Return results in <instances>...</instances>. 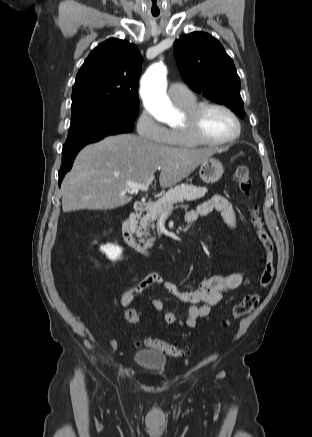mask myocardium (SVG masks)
<instances>
[{"mask_svg":"<svg viewBox=\"0 0 312 437\" xmlns=\"http://www.w3.org/2000/svg\"><path fill=\"white\" fill-rule=\"evenodd\" d=\"M212 108L226 112L233 119L235 131L231 136L221 140H212L204 136L201 130V118L207 110ZM184 113L185 117L181 128L188 137L197 144L208 146L227 145L237 140L241 134V122L239 117L231 108L224 104L217 102L201 103Z\"/></svg>","mask_w":312,"mask_h":437,"instance_id":"f54148a6","label":"myocardium"}]
</instances>
